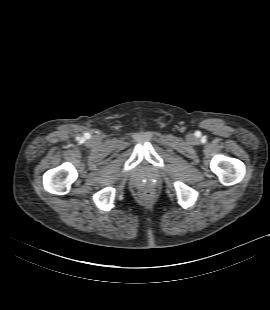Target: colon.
Listing matches in <instances>:
<instances>
[{"mask_svg":"<svg viewBox=\"0 0 270 310\" xmlns=\"http://www.w3.org/2000/svg\"><path fill=\"white\" fill-rule=\"evenodd\" d=\"M142 194L144 195L145 198L149 199L153 196V192L149 189L143 190Z\"/></svg>","mask_w":270,"mask_h":310,"instance_id":"obj_1","label":"colon"}]
</instances>
